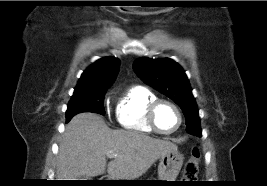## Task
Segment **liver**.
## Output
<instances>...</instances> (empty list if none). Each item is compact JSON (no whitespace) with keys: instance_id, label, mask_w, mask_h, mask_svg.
<instances>
[{"instance_id":"6515ba94","label":"liver","mask_w":267,"mask_h":186,"mask_svg":"<svg viewBox=\"0 0 267 186\" xmlns=\"http://www.w3.org/2000/svg\"><path fill=\"white\" fill-rule=\"evenodd\" d=\"M177 150L170 141L146 134L112 130L94 113H80L67 124L59 145L58 180L90 178L106 172L117 180L136 179L148 171L161 155ZM116 157L107 164L106 153Z\"/></svg>"}]
</instances>
